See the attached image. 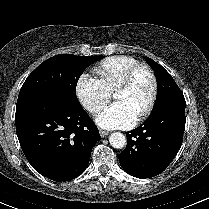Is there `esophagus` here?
Segmentation results:
<instances>
[{
    "mask_svg": "<svg viewBox=\"0 0 209 209\" xmlns=\"http://www.w3.org/2000/svg\"><path fill=\"white\" fill-rule=\"evenodd\" d=\"M99 133H100V136L103 137V138L106 137L109 134V132L105 131V130H100Z\"/></svg>",
    "mask_w": 209,
    "mask_h": 209,
    "instance_id": "1",
    "label": "esophagus"
}]
</instances>
